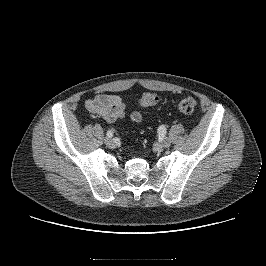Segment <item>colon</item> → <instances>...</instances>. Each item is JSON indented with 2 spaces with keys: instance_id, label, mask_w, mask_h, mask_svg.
Instances as JSON below:
<instances>
[{
  "instance_id": "1",
  "label": "colon",
  "mask_w": 266,
  "mask_h": 266,
  "mask_svg": "<svg viewBox=\"0 0 266 266\" xmlns=\"http://www.w3.org/2000/svg\"><path fill=\"white\" fill-rule=\"evenodd\" d=\"M159 96L154 93H144L138 100L140 107L147 108L159 103ZM179 110L187 115H191L196 108V101L192 97H184L178 102Z\"/></svg>"
}]
</instances>
